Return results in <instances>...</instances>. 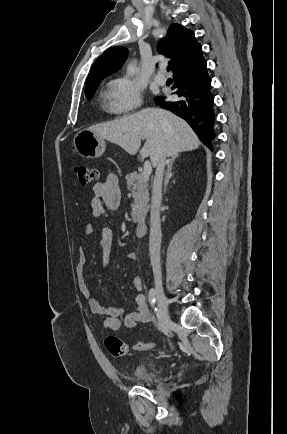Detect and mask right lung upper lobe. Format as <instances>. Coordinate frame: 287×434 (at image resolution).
Segmentation results:
<instances>
[{
  "label": "right lung upper lobe",
  "mask_w": 287,
  "mask_h": 434,
  "mask_svg": "<svg viewBox=\"0 0 287 434\" xmlns=\"http://www.w3.org/2000/svg\"><path fill=\"white\" fill-rule=\"evenodd\" d=\"M163 55L172 58L170 63L175 74L187 66L199 53L202 47L196 41L194 33L179 24H172L165 38L157 44ZM127 57V49L122 46L106 50L92 66L86 84L101 81L109 74L119 70Z\"/></svg>",
  "instance_id": "cb5924a9"
}]
</instances>
